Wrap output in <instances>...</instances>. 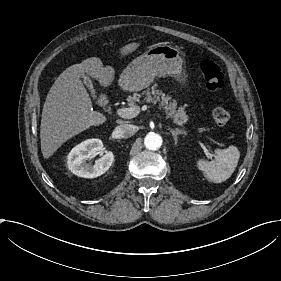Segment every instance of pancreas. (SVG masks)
I'll list each match as a JSON object with an SVG mask.
<instances>
[{"mask_svg": "<svg viewBox=\"0 0 281 281\" xmlns=\"http://www.w3.org/2000/svg\"><path fill=\"white\" fill-rule=\"evenodd\" d=\"M141 96H144L146 103L157 104L159 103V108H163L167 115V118H173L176 123H185L188 120L186 113L179 109L177 110V102L171 101V97L165 95L161 90L155 89V87L148 88L141 94L134 93L132 96L127 97V102L129 106H136V102L140 103Z\"/></svg>", "mask_w": 281, "mask_h": 281, "instance_id": "cf45deb5", "label": "pancreas"}]
</instances>
